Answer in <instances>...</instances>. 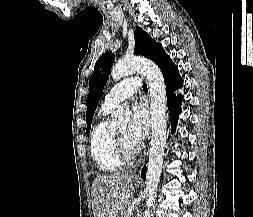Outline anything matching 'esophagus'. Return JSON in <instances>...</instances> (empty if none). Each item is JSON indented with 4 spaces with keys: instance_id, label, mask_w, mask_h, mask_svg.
I'll list each match as a JSON object with an SVG mask.
<instances>
[{
    "instance_id": "esophagus-1",
    "label": "esophagus",
    "mask_w": 253,
    "mask_h": 217,
    "mask_svg": "<svg viewBox=\"0 0 253 217\" xmlns=\"http://www.w3.org/2000/svg\"><path fill=\"white\" fill-rule=\"evenodd\" d=\"M139 173H140V172H139ZM139 173H138V174H135V178H136V179H140Z\"/></svg>"
}]
</instances>
